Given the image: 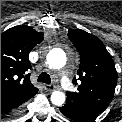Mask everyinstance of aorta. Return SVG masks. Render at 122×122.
Returning a JSON list of instances; mask_svg holds the SVG:
<instances>
[{
  "instance_id": "aorta-1",
  "label": "aorta",
  "mask_w": 122,
  "mask_h": 122,
  "mask_svg": "<svg viewBox=\"0 0 122 122\" xmlns=\"http://www.w3.org/2000/svg\"><path fill=\"white\" fill-rule=\"evenodd\" d=\"M47 63L53 69H61L66 64V54L61 49H53L47 55ZM66 100V96L61 91H53L51 102L56 106H61Z\"/></svg>"
}]
</instances>
